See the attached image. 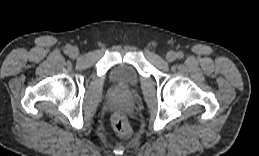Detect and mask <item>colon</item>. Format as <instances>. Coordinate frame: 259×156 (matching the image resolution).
Returning a JSON list of instances; mask_svg holds the SVG:
<instances>
[{
	"label": "colon",
	"mask_w": 259,
	"mask_h": 156,
	"mask_svg": "<svg viewBox=\"0 0 259 156\" xmlns=\"http://www.w3.org/2000/svg\"><path fill=\"white\" fill-rule=\"evenodd\" d=\"M113 127L122 137H129L132 133L130 124L122 113H117L113 118Z\"/></svg>",
	"instance_id": "obj_1"
}]
</instances>
